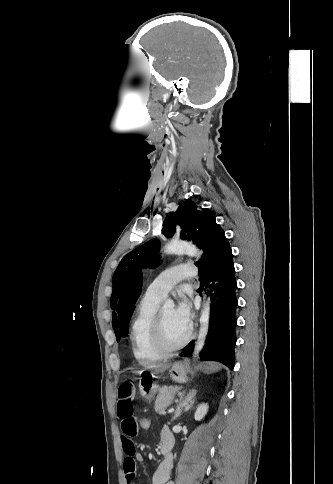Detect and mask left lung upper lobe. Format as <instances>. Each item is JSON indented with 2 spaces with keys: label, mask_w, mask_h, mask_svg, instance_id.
<instances>
[{
  "label": "left lung upper lobe",
  "mask_w": 333,
  "mask_h": 484,
  "mask_svg": "<svg viewBox=\"0 0 333 484\" xmlns=\"http://www.w3.org/2000/svg\"><path fill=\"white\" fill-rule=\"evenodd\" d=\"M213 219H215L214 213L209 209H200L190 200L184 201L180 203L176 212H171L166 216L162 233L166 237H172L175 225L178 223L181 227L180 237L192 241L202 249L208 224ZM158 248V240L152 239L122 258L113 275V292L110 302L113 310H115L117 299L128 275L136 268H153L159 264ZM112 323L117 341H119L115 312L112 314Z\"/></svg>",
  "instance_id": "left-lung-upper-lobe-1"
}]
</instances>
